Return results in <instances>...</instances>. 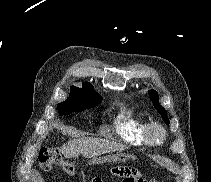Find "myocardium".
<instances>
[{"mask_svg":"<svg viewBox=\"0 0 211 182\" xmlns=\"http://www.w3.org/2000/svg\"><path fill=\"white\" fill-rule=\"evenodd\" d=\"M144 137L148 144L159 145L166 139L165 128L158 122H149L144 128Z\"/></svg>","mask_w":211,"mask_h":182,"instance_id":"obj_1","label":"myocardium"}]
</instances>
